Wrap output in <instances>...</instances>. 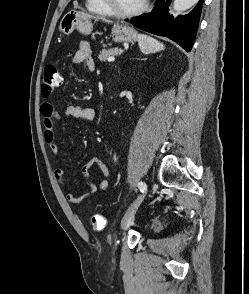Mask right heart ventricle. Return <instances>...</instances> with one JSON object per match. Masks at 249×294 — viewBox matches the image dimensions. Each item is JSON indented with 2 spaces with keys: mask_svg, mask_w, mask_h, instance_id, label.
Wrapping results in <instances>:
<instances>
[{
  "mask_svg": "<svg viewBox=\"0 0 249 294\" xmlns=\"http://www.w3.org/2000/svg\"><path fill=\"white\" fill-rule=\"evenodd\" d=\"M86 7L89 12L101 16L110 15L106 7L103 5L102 0H86Z\"/></svg>",
  "mask_w": 249,
  "mask_h": 294,
  "instance_id": "e07e8e85",
  "label": "right heart ventricle"
}]
</instances>
